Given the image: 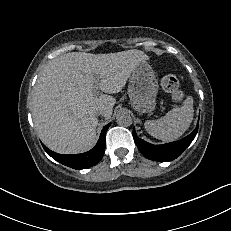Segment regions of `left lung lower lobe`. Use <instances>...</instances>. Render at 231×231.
<instances>
[{"label": "left lung lower lobe", "instance_id": "1", "mask_svg": "<svg viewBox=\"0 0 231 231\" xmlns=\"http://www.w3.org/2000/svg\"><path fill=\"white\" fill-rule=\"evenodd\" d=\"M198 131V124L195 130L188 135L187 137L176 141L163 145H152L150 143L145 142L141 138H138L133 129V138L141 153L148 159L154 161H170L176 159L178 156L182 154V152L190 145V143L195 138Z\"/></svg>", "mask_w": 231, "mask_h": 231}]
</instances>
